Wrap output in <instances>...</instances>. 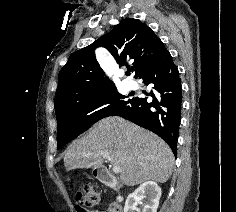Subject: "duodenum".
<instances>
[{
    "label": "duodenum",
    "instance_id": "duodenum-1",
    "mask_svg": "<svg viewBox=\"0 0 236 212\" xmlns=\"http://www.w3.org/2000/svg\"><path fill=\"white\" fill-rule=\"evenodd\" d=\"M96 176H97L98 180L102 184H104L105 186L113 188L116 191H119L116 179L113 176V174L109 171L108 168H106V167H99L96 170ZM120 199H121V197L119 196L118 200H120Z\"/></svg>",
    "mask_w": 236,
    "mask_h": 212
}]
</instances>
